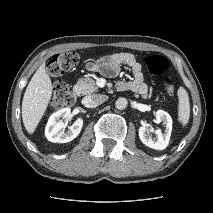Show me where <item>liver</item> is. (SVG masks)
I'll return each instance as SVG.
<instances>
[{
    "label": "liver",
    "mask_w": 213,
    "mask_h": 213,
    "mask_svg": "<svg viewBox=\"0 0 213 213\" xmlns=\"http://www.w3.org/2000/svg\"><path fill=\"white\" fill-rule=\"evenodd\" d=\"M52 82L43 63L31 78L22 101V120L29 134L36 130L52 96Z\"/></svg>",
    "instance_id": "1"
}]
</instances>
